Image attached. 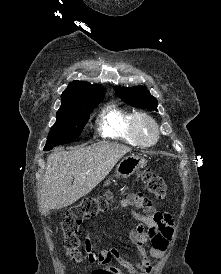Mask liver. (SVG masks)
Returning a JSON list of instances; mask_svg holds the SVG:
<instances>
[{"mask_svg": "<svg viewBox=\"0 0 221 274\" xmlns=\"http://www.w3.org/2000/svg\"><path fill=\"white\" fill-rule=\"evenodd\" d=\"M130 151L131 148L124 145L99 142L50 154L38 197L39 206L61 209L72 205L104 180L119 159Z\"/></svg>", "mask_w": 221, "mask_h": 274, "instance_id": "1", "label": "liver"}]
</instances>
